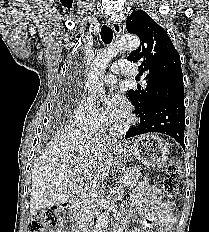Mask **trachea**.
Listing matches in <instances>:
<instances>
[{"label": "trachea", "instance_id": "trachea-1", "mask_svg": "<svg viewBox=\"0 0 209 232\" xmlns=\"http://www.w3.org/2000/svg\"><path fill=\"white\" fill-rule=\"evenodd\" d=\"M101 39L105 44H110L113 40V31L112 28L103 25L101 28Z\"/></svg>", "mask_w": 209, "mask_h": 232}]
</instances>
